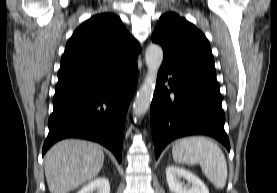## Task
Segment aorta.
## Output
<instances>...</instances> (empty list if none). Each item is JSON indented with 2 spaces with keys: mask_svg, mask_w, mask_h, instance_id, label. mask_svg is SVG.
Listing matches in <instances>:
<instances>
[{
  "mask_svg": "<svg viewBox=\"0 0 277 193\" xmlns=\"http://www.w3.org/2000/svg\"><path fill=\"white\" fill-rule=\"evenodd\" d=\"M145 60L148 72L133 103L135 121L143 117L150 107L156 86L157 73L163 61L162 48L159 45L150 44L145 52Z\"/></svg>",
  "mask_w": 277,
  "mask_h": 193,
  "instance_id": "obj_1",
  "label": "aorta"
}]
</instances>
